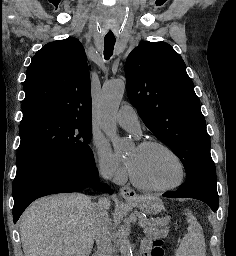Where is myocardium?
I'll list each match as a JSON object with an SVG mask.
<instances>
[{
    "label": "myocardium",
    "instance_id": "1",
    "mask_svg": "<svg viewBox=\"0 0 236 256\" xmlns=\"http://www.w3.org/2000/svg\"><path fill=\"white\" fill-rule=\"evenodd\" d=\"M137 148L141 149V150H151V149H162L167 151L168 153H170L178 162L180 169H181V173H180V177L178 178V180L170 185L164 186V187H150L147 185H144L143 183H141L135 176V174L133 173V171L131 170V168L129 167V165L127 166L128 168V174H129V178H130V182L132 183V185L137 188L138 190H141L143 192L146 193H152V194H158V193H165L168 192L170 190H173L177 187H179L180 185H182V183L184 182L185 178H186V165L182 159V157L170 146H168L165 143L159 142V141H145L140 143Z\"/></svg>",
    "mask_w": 236,
    "mask_h": 256
}]
</instances>
